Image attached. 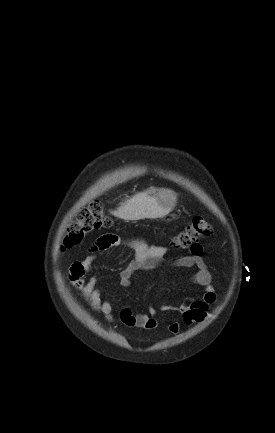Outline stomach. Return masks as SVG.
<instances>
[{
  "label": "stomach",
  "mask_w": 275,
  "mask_h": 433,
  "mask_svg": "<svg viewBox=\"0 0 275 433\" xmlns=\"http://www.w3.org/2000/svg\"><path fill=\"white\" fill-rule=\"evenodd\" d=\"M157 202L163 210L171 211L176 202V195L169 189H160L157 192Z\"/></svg>",
  "instance_id": "0dacf381"
}]
</instances>
